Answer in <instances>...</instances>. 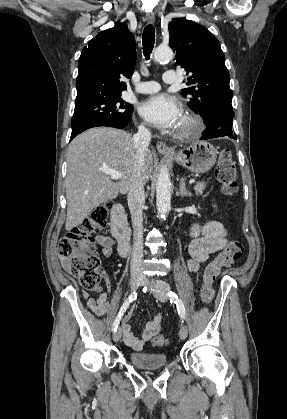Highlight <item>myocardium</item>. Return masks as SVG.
Returning <instances> with one entry per match:
<instances>
[{"label": "myocardium", "instance_id": "f54148a6", "mask_svg": "<svg viewBox=\"0 0 287 419\" xmlns=\"http://www.w3.org/2000/svg\"><path fill=\"white\" fill-rule=\"evenodd\" d=\"M202 131V122L199 117L192 113H185L180 127L176 133L178 138H189Z\"/></svg>", "mask_w": 287, "mask_h": 419}]
</instances>
